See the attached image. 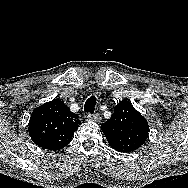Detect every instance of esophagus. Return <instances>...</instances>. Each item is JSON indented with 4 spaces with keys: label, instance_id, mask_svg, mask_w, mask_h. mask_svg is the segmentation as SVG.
<instances>
[{
    "label": "esophagus",
    "instance_id": "obj_1",
    "mask_svg": "<svg viewBox=\"0 0 188 188\" xmlns=\"http://www.w3.org/2000/svg\"><path fill=\"white\" fill-rule=\"evenodd\" d=\"M88 118H89L90 120H93V121H96V122H100V120H101V117H100V115H99L98 113L89 114V115H88Z\"/></svg>",
    "mask_w": 188,
    "mask_h": 188
}]
</instances>
